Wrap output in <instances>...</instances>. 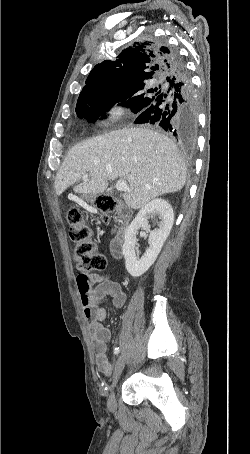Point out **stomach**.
<instances>
[{"instance_id":"stomach-1","label":"stomach","mask_w":250,"mask_h":454,"mask_svg":"<svg viewBox=\"0 0 250 454\" xmlns=\"http://www.w3.org/2000/svg\"><path fill=\"white\" fill-rule=\"evenodd\" d=\"M85 198H86L88 201H92V200H94V199L96 198V195H93V194L87 195V196H85Z\"/></svg>"}]
</instances>
